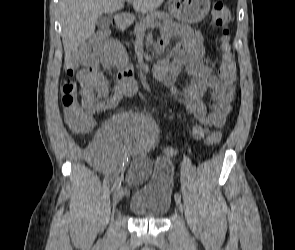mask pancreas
I'll list each match as a JSON object with an SVG mask.
<instances>
[{
  "label": "pancreas",
  "mask_w": 295,
  "mask_h": 250,
  "mask_svg": "<svg viewBox=\"0 0 295 250\" xmlns=\"http://www.w3.org/2000/svg\"><path fill=\"white\" fill-rule=\"evenodd\" d=\"M158 20L167 24H175L168 13L163 11H154L139 19V21L135 24L133 33L138 35L141 31H145L151 22H157L158 24Z\"/></svg>",
  "instance_id": "1"
}]
</instances>
